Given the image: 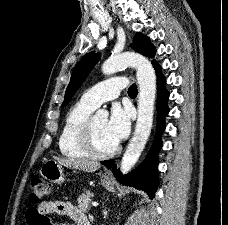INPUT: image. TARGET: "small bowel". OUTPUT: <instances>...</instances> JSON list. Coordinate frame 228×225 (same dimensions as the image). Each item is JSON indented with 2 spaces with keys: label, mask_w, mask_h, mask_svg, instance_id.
Here are the masks:
<instances>
[{
  "label": "small bowel",
  "mask_w": 228,
  "mask_h": 225,
  "mask_svg": "<svg viewBox=\"0 0 228 225\" xmlns=\"http://www.w3.org/2000/svg\"><path fill=\"white\" fill-rule=\"evenodd\" d=\"M50 214L67 216L75 221L76 224L78 223L79 219L84 216L77 207L68 201H43L37 207L31 208L27 211V225H66L64 223L50 222V218H47V215Z\"/></svg>",
  "instance_id": "1"
}]
</instances>
